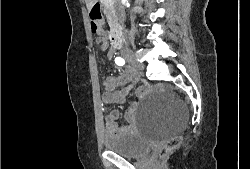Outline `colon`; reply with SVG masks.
<instances>
[{
  "mask_svg": "<svg viewBox=\"0 0 250 169\" xmlns=\"http://www.w3.org/2000/svg\"><path fill=\"white\" fill-rule=\"evenodd\" d=\"M91 30L93 33L100 34L103 29V20H102V12L99 7H93L89 12ZM183 138L172 137L166 138V141H163V145H161L160 151V159L164 160L165 155H170L172 150H178V146H182Z\"/></svg>",
  "mask_w": 250,
  "mask_h": 169,
  "instance_id": "obj_1",
  "label": "colon"
}]
</instances>
